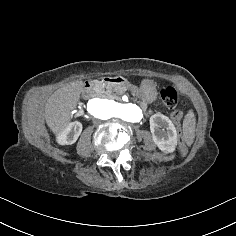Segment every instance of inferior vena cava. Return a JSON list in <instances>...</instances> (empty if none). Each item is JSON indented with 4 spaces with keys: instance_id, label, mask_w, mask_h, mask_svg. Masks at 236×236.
Here are the masks:
<instances>
[{
    "instance_id": "inferior-vena-cava-1",
    "label": "inferior vena cava",
    "mask_w": 236,
    "mask_h": 236,
    "mask_svg": "<svg viewBox=\"0 0 236 236\" xmlns=\"http://www.w3.org/2000/svg\"><path fill=\"white\" fill-rule=\"evenodd\" d=\"M94 126H99L100 125V120H97V118L92 117Z\"/></svg>"
}]
</instances>
